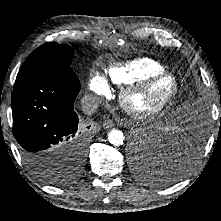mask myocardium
<instances>
[{
  "label": "myocardium",
  "instance_id": "1",
  "mask_svg": "<svg viewBox=\"0 0 221 221\" xmlns=\"http://www.w3.org/2000/svg\"><path fill=\"white\" fill-rule=\"evenodd\" d=\"M168 79L172 83L171 91L153 107L140 108L133 104V98L151 87L155 82ZM179 91L178 79L171 73L160 72L151 75L138 84H131L122 90L120 94V105L123 110L135 119H151L160 116L175 100Z\"/></svg>",
  "mask_w": 221,
  "mask_h": 221
}]
</instances>
